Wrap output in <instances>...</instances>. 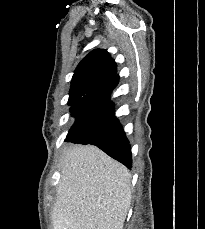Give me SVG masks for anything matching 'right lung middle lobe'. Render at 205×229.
<instances>
[{"label":"right lung middle lobe","instance_id":"obj_1","mask_svg":"<svg viewBox=\"0 0 205 229\" xmlns=\"http://www.w3.org/2000/svg\"><path fill=\"white\" fill-rule=\"evenodd\" d=\"M76 101H69L68 105L72 106Z\"/></svg>","mask_w":205,"mask_h":229}]
</instances>
